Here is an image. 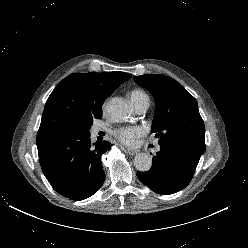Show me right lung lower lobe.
I'll return each instance as SVG.
<instances>
[{"mask_svg":"<svg viewBox=\"0 0 248 248\" xmlns=\"http://www.w3.org/2000/svg\"><path fill=\"white\" fill-rule=\"evenodd\" d=\"M37 148L42 171L59 194L72 200H83L102 186L105 173L101 156L111 148L107 141L92 145L90 132L70 127Z\"/></svg>","mask_w":248,"mask_h":248,"instance_id":"98d812e1","label":"right lung lower lobe"}]
</instances>
